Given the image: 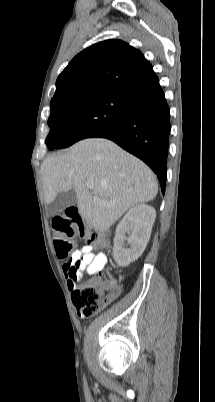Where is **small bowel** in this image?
Returning a JSON list of instances; mask_svg holds the SVG:
<instances>
[{
	"label": "small bowel",
	"mask_w": 215,
	"mask_h": 402,
	"mask_svg": "<svg viewBox=\"0 0 215 402\" xmlns=\"http://www.w3.org/2000/svg\"><path fill=\"white\" fill-rule=\"evenodd\" d=\"M73 260H80L77 270L72 273L67 263L64 265V273L67 278V285L69 290L74 293L76 283L81 281L86 275L94 274L100 271L106 264L107 258L103 253H93L91 245H85L81 249L72 254ZM115 286V284H113ZM116 287V286H115ZM117 291L118 288L116 287ZM79 316H83L79 313Z\"/></svg>",
	"instance_id": "obj_1"
}]
</instances>
